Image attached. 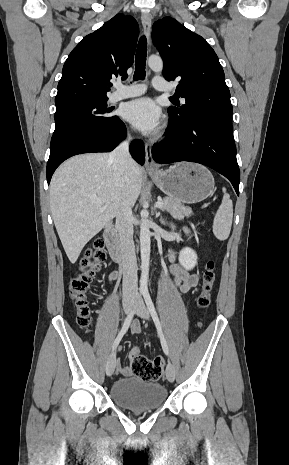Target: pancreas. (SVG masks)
Masks as SVG:
<instances>
[{
  "label": "pancreas",
  "instance_id": "pancreas-1",
  "mask_svg": "<svg viewBox=\"0 0 289 465\" xmlns=\"http://www.w3.org/2000/svg\"><path fill=\"white\" fill-rule=\"evenodd\" d=\"M161 209L168 211L174 218L179 220L192 215V209L190 207L184 206L180 201L170 197H165L163 199V206Z\"/></svg>",
  "mask_w": 289,
  "mask_h": 465
}]
</instances>
